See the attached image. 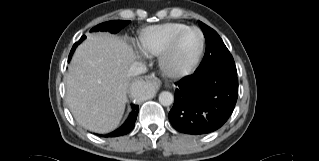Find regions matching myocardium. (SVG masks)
<instances>
[{
    "label": "myocardium",
    "instance_id": "f54148a6",
    "mask_svg": "<svg viewBox=\"0 0 319 161\" xmlns=\"http://www.w3.org/2000/svg\"><path fill=\"white\" fill-rule=\"evenodd\" d=\"M190 30H196L200 34L199 50L193 61L185 67H176L171 63V56L179 38ZM205 38L202 30L196 26L186 27L176 32L169 40L165 50L161 54L159 63L162 72L169 77L179 78L190 74L198 65L204 50Z\"/></svg>",
    "mask_w": 319,
    "mask_h": 161
}]
</instances>
